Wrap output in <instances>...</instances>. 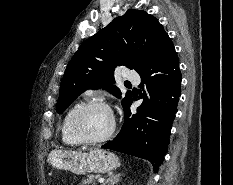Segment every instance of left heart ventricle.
Here are the masks:
<instances>
[{
    "mask_svg": "<svg viewBox=\"0 0 233 185\" xmlns=\"http://www.w3.org/2000/svg\"><path fill=\"white\" fill-rule=\"evenodd\" d=\"M112 126V116L104 108H93L81 119L82 132L89 138H99L108 133Z\"/></svg>",
    "mask_w": 233,
    "mask_h": 185,
    "instance_id": "left-heart-ventricle-1",
    "label": "left heart ventricle"
}]
</instances>
